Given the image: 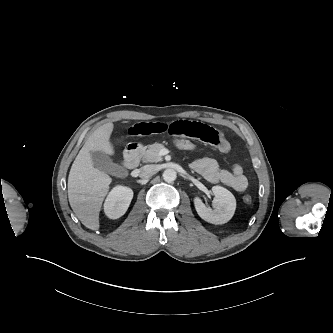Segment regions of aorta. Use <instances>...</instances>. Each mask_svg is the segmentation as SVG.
Returning <instances> with one entry per match:
<instances>
[{"instance_id": "762f6f07", "label": "aorta", "mask_w": 333, "mask_h": 333, "mask_svg": "<svg viewBox=\"0 0 333 333\" xmlns=\"http://www.w3.org/2000/svg\"><path fill=\"white\" fill-rule=\"evenodd\" d=\"M162 177L165 182L171 183L176 179V172L173 169H166Z\"/></svg>"}]
</instances>
